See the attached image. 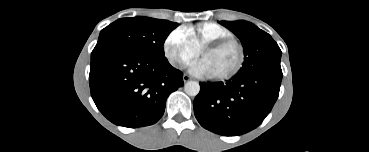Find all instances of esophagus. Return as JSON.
Listing matches in <instances>:
<instances>
[{"label":"esophagus","mask_w":369,"mask_h":152,"mask_svg":"<svg viewBox=\"0 0 369 152\" xmlns=\"http://www.w3.org/2000/svg\"><path fill=\"white\" fill-rule=\"evenodd\" d=\"M190 79H191V77H190V76H188L187 74H184V75H183V81H184V82H188Z\"/></svg>","instance_id":"34e87169"}]
</instances>
